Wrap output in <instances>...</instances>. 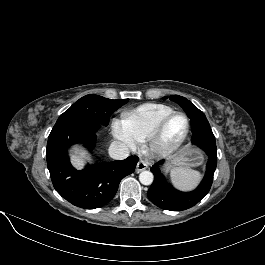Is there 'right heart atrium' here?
Masks as SVG:
<instances>
[{"mask_svg": "<svg viewBox=\"0 0 265 265\" xmlns=\"http://www.w3.org/2000/svg\"><path fill=\"white\" fill-rule=\"evenodd\" d=\"M111 129L114 137L121 141L126 147L132 149L136 146V138L128 130L123 120L114 118L111 123Z\"/></svg>", "mask_w": 265, "mask_h": 265, "instance_id": "d8ad5b80", "label": "right heart atrium"}]
</instances>
